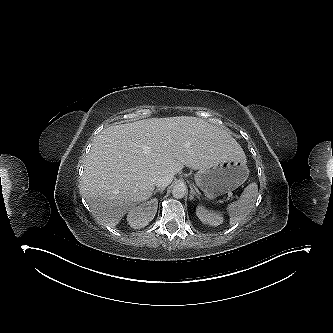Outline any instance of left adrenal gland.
<instances>
[{"label":"left adrenal gland","mask_w":333,"mask_h":333,"mask_svg":"<svg viewBox=\"0 0 333 333\" xmlns=\"http://www.w3.org/2000/svg\"><path fill=\"white\" fill-rule=\"evenodd\" d=\"M194 196H196L198 199L200 198L199 195L195 192L193 188H191L189 199L192 201L194 199Z\"/></svg>","instance_id":"obj_1"}]
</instances>
